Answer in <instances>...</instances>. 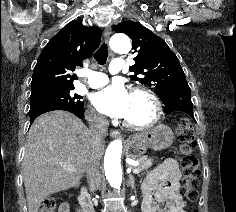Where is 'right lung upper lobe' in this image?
Returning a JSON list of instances; mask_svg holds the SVG:
<instances>
[{
	"instance_id": "obj_1",
	"label": "right lung upper lobe",
	"mask_w": 236,
	"mask_h": 212,
	"mask_svg": "<svg viewBox=\"0 0 236 212\" xmlns=\"http://www.w3.org/2000/svg\"><path fill=\"white\" fill-rule=\"evenodd\" d=\"M101 30L72 21L61 29L45 46L34 68L31 93L54 87H71L76 66L91 57L100 44Z\"/></svg>"
}]
</instances>
